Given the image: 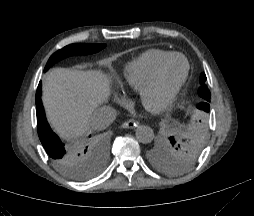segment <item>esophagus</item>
Wrapping results in <instances>:
<instances>
[{"mask_svg": "<svg viewBox=\"0 0 254 216\" xmlns=\"http://www.w3.org/2000/svg\"><path fill=\"white\" fill-rule=\"evenodd\" d=\"M139 125V122L134 120V119H130V120H127L125 121L121 127L124 128V129H133L135 127H137Z\"/></svg>", "mask_w": 254, "mask_h": 216, "instance_id": "esophagus-1", "label": "esophagus"}]
</instances>
